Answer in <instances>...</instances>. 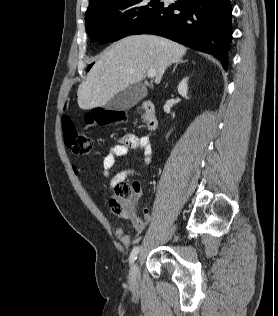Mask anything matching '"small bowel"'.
I'll return each mask as SVG.
<instances>
[{"instance_id":"1","label":"small bowel","mask_w":278,"mask_h":316,"mask_svg":"<svg viewBox=\"0 0 278 316\" xmlns=\"http://www.w3.org/2000/svg\"><path fill=\"white\" fill-rule=\"evenodd\" d=\"M131 150L140 151L143 156V164L145 166L151 163L152 158V145L151 140L148 135H136V134H126L124 135L115 145L110 147L103 158L102 168L104 177H108L112 169L114 168L116 161L128 155ZM74 172H78L79 168L74 165ZM128 178H139L137 174L132 169H126L118 172L109 182V186L112 188L116 184L124 182ZM141 191L139 188L135 192V197L140 195ZM129 216L127 214H122L119 219H127ZM132 225L137 232H142L146 227V224L150 221V215L146 212L144 218H140L138 215L132 217ZM115 235L119 241L127 246L131 242L130 235L124 230L122 226H118L115 230Z\"/></svg>"}]
</instances>
